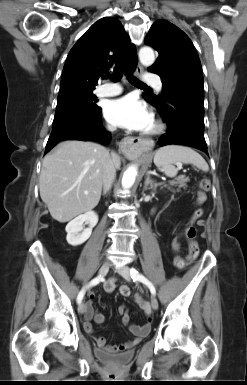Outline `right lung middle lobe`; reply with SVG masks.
Returning a JSON list of instances; mask_svg holds the SVG:
<instances>
[{"label":"right lung middle lobe","instance_id":"obj_1","mask_svg":"<svg viewBox=\"0 0 247 385\" xmlns=\"http://www.w3.org/2000/svg\"><path fill=\"white\" fill-rule=\"evenodd\" d=\"M92 89L60 91L54 121L76 113H92L100 109Z\"/></svg>","mask_w":247,"mask_h":385}]
</instances>
